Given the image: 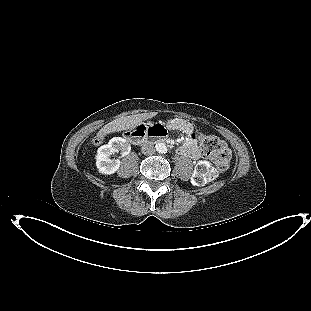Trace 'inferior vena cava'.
I'll list each match as a JSON object with an SVG mask.
<instances>
[{"label": "inferior vena cava", "instance_id": "602c4592", "mask_svg": "<svg viewBox=\"0 0 311 311\" xmlns=\"http://www.w3.org/2000/svg\"><path fill=\"white\" fill-rule=\"evenodd\" d=\"M155 152V148L151 142H146L142 145V153L146 155H152Z\"/></svg>", "mask_w": 311, "mask_h": 311}]
</instances>
